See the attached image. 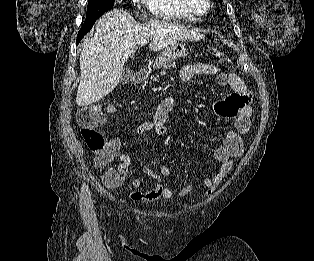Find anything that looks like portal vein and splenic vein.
I'll return each mask as SVG.
<instances>
[{
    "mask_svg": "<svg viewBox=\"0 0 314 261\" xmlns=\"http://www.w3.org/2000/svg\"><path fill=\"white\" fill-rule=\"evenodd\" d=\"M140 45H141V46L147 45V41H142Z\"/></svg>",
    "mask_w": 314,
    "mask_h": 261,
    "instance_id": "obj_1",
    "label": "portal vein and splenic vein"
}]
</instances>
